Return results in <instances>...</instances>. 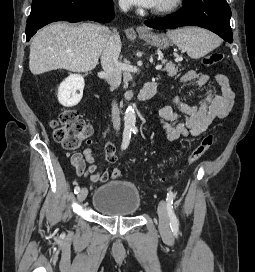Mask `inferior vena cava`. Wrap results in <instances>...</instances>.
<instances>
[{"instance_id":"obj_1","label":"inferior vena cava","mask_w":255,"mask_h":272,"mask_svg":"<svg viewBox=\"0 0 255 272\" xmlns=\"http://www.w3.org/2000/svg\"><path fill=\"white\" fill-rule=\"evenodd\" d=\"M119 6L122 11L127 12L130 8L126 0H120ZM121 50L120 35L117 30L110 32L108 42L101 54V65L106 80L112 89L119 87L122 77V65L118 61ZM112 122L115 130L120 129V110L116 102L112 103Z\"/></svg>"}]
</instances>
